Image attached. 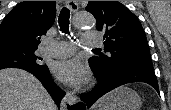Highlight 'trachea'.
Listing matches in <instances>:
<instances>
[{"label": "trachea", "instance_id": "trachea-1", "mask_svg": "<svg viewBox=\"0 0 171 110\" xmlns=\"http://www.w3.org/2000/svg\"><path fill=\"white\" fill-rule=\"evenodd\" d=\"M69 19H70V11L67 7H63L62 10L60 11L59 18H58V23L61 32L69 33ZM94 50H99V49H94Z\"/></svg>", "mask_w": 171, "mask_h": 110}]
</instances>
